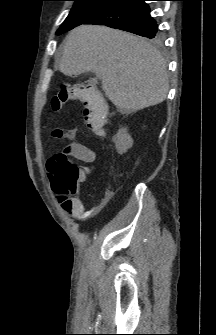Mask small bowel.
Returning a JSON list of instances; mask_svg holds the SVG:
<instances>
[{"label": "small bowel", "mask_w": 216, "mask_h": 335, "mask_svg": "<svg viewBox=\"0 0 216 335\" xmlns=\"http://www.w3.org/2000/svg\"><path fill=\"white\" fill-rule=\"evenodd\" d=\"M53 136L56 138L73 139L77 136V131L74 129H70V130L56 129L53 132ZM66 147L70 150L72 157L76 158L77 160L83 163L88 164L89 165L88 167L91 169V172L93 171L92 165L97 160V154H96V151L92 147L86 146L80 143H76V142L70 143L66 145ZM50 173H51V169L48 166L49 178H50ZM57 198H58L59 203L62 205L63 199L59 195L57 196ZM75 201L79 203L80 207L72 211V215L74 218L84 219L94 214V213H90L89 211H86L83 203L79 199H75Z\"/></svg>", "instance_id": "c3829d8e"}]
</instances>
